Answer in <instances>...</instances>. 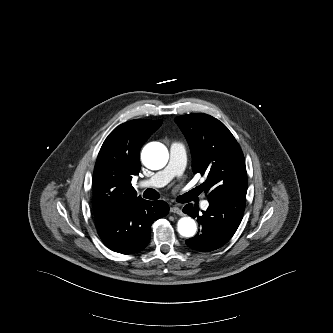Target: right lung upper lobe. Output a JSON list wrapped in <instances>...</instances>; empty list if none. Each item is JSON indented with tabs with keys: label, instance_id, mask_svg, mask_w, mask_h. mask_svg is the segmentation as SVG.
Masks as SVG:
<instances>
[{
	"label": "right lung upper lobe",
	"instance_id": "obj_1",
	"mask_svg": "<svg viewBox=\"0 0 333 333\" xmlns=\"http://www.w3.org/2000/svg\"><path fill=\"white\" fill-rule=\"evenodd\" d=\"M161 124L162 120L136 119L119 125L109 134L94 168L93 202L121 200L126 205L137 198L131 179L141 169L139 152Z\"/></svg>",
	"mask_w": 333,
	"mask_h": 333
}]
</instances>
